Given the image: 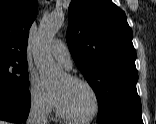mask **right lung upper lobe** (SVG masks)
I'll return each instance as SVG.
<instances>
[{"label": "right lung upper lobe", "instance_id": "1", "mask_svg": "<svg viewBox=\"0 0 156 124\" xmlns=\"http://www.w3.org/2000/svg\"><path fill=\"white\" fill-rule=\"evenodd\" d=\"M37 0H0V62H26L29 29Z\"/></svg>", "mask_w": 156, "mask_h": 124}]
</instances>
